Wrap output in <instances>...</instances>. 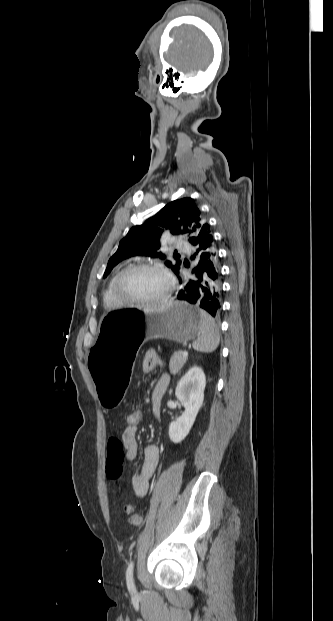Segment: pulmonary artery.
<instances>
[{
    "mask_svg": "<svg viewBox=\"0 0 333 621\" xmlns=\"http://www.w3.org/2000/svg\"><path fill=\"white\" fill-rule=\"evenodd\" d=\"M175 248L177 250H185L187 249V243L184 240L178 239L175 241Z\"/></svg>",
    "mask_w": 333,
    "mask_h": 621,
    "instance_id": "pulmonary-artery-1",
    "label": "pulmonary artery"
}]
</instances>
